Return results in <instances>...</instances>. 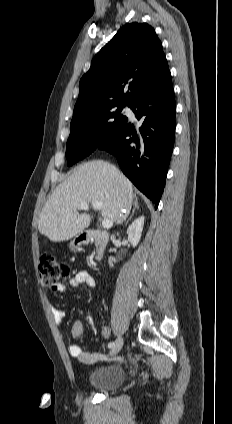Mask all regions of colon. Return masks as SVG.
Segmentation results:
<instances>
[{
	"mask_svg": "<svg viewBox=\"0 0 232 424\" xmlns=\"http://www.w3.org/2000/svg\"><path fill=\"white\" fill-rule=\"evenodd\" d=\"M40 280L44 287L55 288L70 276L67 263L58 260L53 254H43L39 259Z\"/></svg>",
	"mask_w": 232,
	"mask_h": 424,
	"instance_id": "5ec220e1",
	"label": "colon"
}]
</instances>
